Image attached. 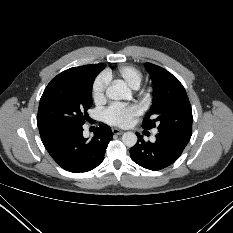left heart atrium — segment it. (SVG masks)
I'll use <instances>...</instances> for the list:
<instances>
[{
	"label": "left heart atrium",
	"instance_id": "1",
	"mask_svg": "<svg viewBox=\"0 0 233 233\" xmlns=\"http://www.w3.org/2000/svg\"><path fill=\"white\" fill-rule=\"evenodd\" d=\"M141 109L138 105H124L114 103L104 112L105 121L113 126L128 127L135 116L139 115Z\"/></svg>",
	"mask_w": 233,
	"mask_h": 233
}]
</instances>
